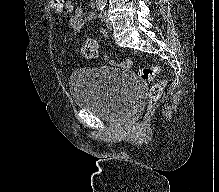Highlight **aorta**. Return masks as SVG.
Returning a JSON list of instances; mask_svg holds the SVG:
<instances>
[{"instance_id":"obj_1","label":"aorta","mask_w":219,"mask_h":192,"mask_svg":"<svg viewBox=\"0 0 219 192\" xmlns=\"http://www.w3.org/2000/svg\"><path fill=\"white\" fill-rule=\"evenodd\" d=\"M107 0H96L99 5H105Z\"/></svg>"}]
</instances>
